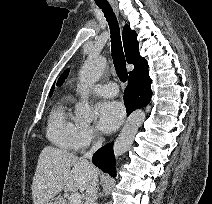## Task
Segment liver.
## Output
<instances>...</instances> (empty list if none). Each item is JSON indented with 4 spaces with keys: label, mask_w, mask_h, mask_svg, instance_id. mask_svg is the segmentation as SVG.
Instances as JSON below:
<instances>
[{
    "label": "liver",
    "mask_w": 212,
    "mask_h": 204,
    "mask_svg": "<svg viewBox=\"0 0 212 204\" xmlns=\"http://www.w3.org/2000/svg\"><path fill=\"white\" fill-rule=\"evenodd\" d=\"M89 175L90 167L81 158L53 146L44 147L31 186L33 204H47L62 190L83 193Z\"/></svg>",
    "instance_id": "liver-1"
}]
</instances>
